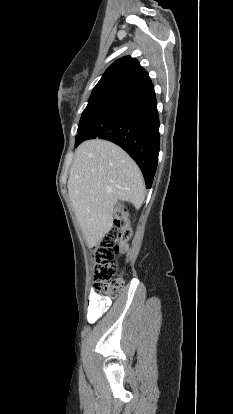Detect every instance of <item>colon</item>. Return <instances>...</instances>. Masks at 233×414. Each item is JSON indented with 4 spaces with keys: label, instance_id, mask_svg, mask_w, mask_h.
Here are the masks:
<instances>
[{
    "label": "colon",
    "instance_id": "obj_1",
    "mask_svg": "<svg viewBox=\"0 0 233 414\" xmlns=\"http://www.w3.org/2000/svg\"><path fill=\"white\" fill-rule=\"evenodd\" d=\"M117 221L95 249L94 291L96 294L115 299L124 286V278L118 274L115 258L127 248L132 231L126 225V212L122 205L115 208Z\"/></svg>",
    "mask_w": 233,
    "mask_h": 414
}]
</instances>
